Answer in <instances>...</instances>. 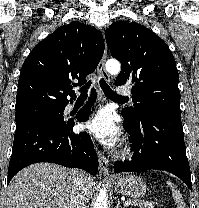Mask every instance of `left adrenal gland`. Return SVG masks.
<instances>
[{
  "mask_svg": "<svg viewBox=\"0 0 199 208\" xmlns=\"http://www.w3.org/2000/svg\"><path fill=\"white\" fill-rule=\"evenodd\" d=\"M116 208H121V205H120V201L119 200H118V203H117ZM122 208H124V207H122Z\"/></svg>",
  "mask_w": 199,
  "mask_h": 208,
  "instance_id": "1",
  "label": "left adrenal gland"
}]
</instances>
